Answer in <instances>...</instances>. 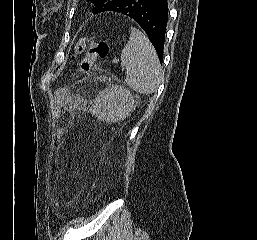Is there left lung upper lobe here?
Returning a JSON list of instances; mask_svg holds the SVG:
<instances>
[{"instance_id": "5c2ea615", "label": "left lung upper lobe", "mask_w": 257, "mask_h": 240, "mask_svg": "<svg viewBox=\"0 0 257 240\" xmlns=\"http://www.w3.org/2000/svg\"><path fill=\"white\" fill-rule=\"evenodd\" d=\"M89 1H91L94 5L92 13L98 14V13L108 11L112 7L119 4L122 0H89Z\"/></svg>"}]
</instances>
